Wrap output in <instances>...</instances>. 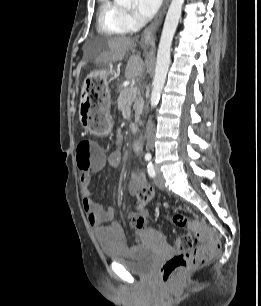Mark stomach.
<instances>
[{"instance_id":"obj_1","label":"stomach","mask_w":261,"mask_h":306,"mask_svg":"<svg viewBox=\"0 0 261 306\" xmlns=\"http://www.w3.org/2000/svg\"><path fill=\"white\" fill-rule=\"evenodd\" d=\"M79 119L83 128L95 135H103L112 127L110 92L104 79H97L82 89Z\"/></svg>"}]
</instances>
